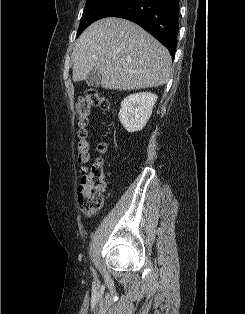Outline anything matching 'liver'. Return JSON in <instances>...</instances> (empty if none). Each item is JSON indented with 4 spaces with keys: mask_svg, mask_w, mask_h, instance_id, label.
<instances>
[{
    "mask_svg": "<svg viewBox=\"0 0 245 314\" xmlns=\"http://www.w3.org/2000/svg\"><path fill=\"white\" fill-rule=\"evenodd\" d=\"M171 63L166 47L139 25L110 17L94 22L77 39L72 78L85 80L95 69L104 89L158 87L168 82Z\"/></svg>",
    "mask_w": 245,
    "mask_h": 314,
    "instance_id": "1",
    "label": "liver"
}]
</instances>
